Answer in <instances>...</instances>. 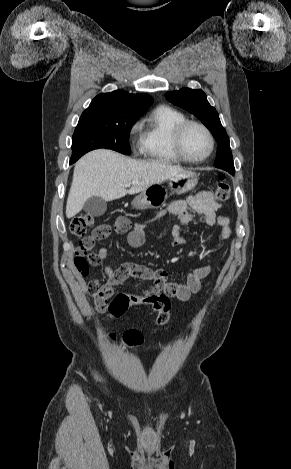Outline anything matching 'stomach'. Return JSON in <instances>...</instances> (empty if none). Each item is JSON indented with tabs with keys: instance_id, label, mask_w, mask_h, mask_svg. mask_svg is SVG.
Listing matches in <instances>:
<instances>
[{
	"instance_id": "0dacf381",
	"label": "stomach",
	"mask_w": 291,
	"mask_h": 469,
	"mask_svg": "<svg viewBox=\"0 0 291 469\" xmlns=\"http://www.w3.org/2000/svg\"><path fill=\"white\" fill-rule=\"evenodd\" d=\"M198 178L192 171H183L169 179L172 194L181 195L191 191L197 184ZM168 198V190L161 183L153 184L136 196L132 202L133 207L139 210L158 208Z\"/></svg>"
}]
</instances>
